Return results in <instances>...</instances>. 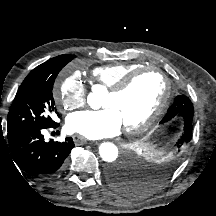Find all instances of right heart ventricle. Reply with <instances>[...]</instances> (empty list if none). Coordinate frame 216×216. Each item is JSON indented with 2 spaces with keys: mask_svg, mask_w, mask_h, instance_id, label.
<instances>
[{
  "mask_svg": "<svg viewBox=\"0 0 216 216\" xmlns=\"http://www.w3.org/2000/svg\"><path fill=\"white\" fill-rule=\"evenodd\" d=\"M141 67L142 65L132 62H115L95 67L91 76L96 84L110 89L124 76Z\"/></svg>",
  "mask_w": 216,
  "mask_h": 216,
  "instance_id": "right-heart-ventricle-1",
  "label": "right heart ventricle"
}]
</instances>
